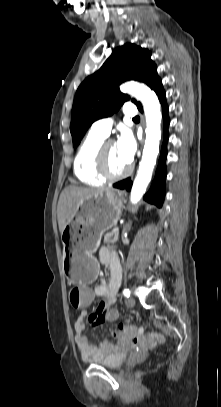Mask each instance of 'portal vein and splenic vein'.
<instances>
[{
	"instance_id": "1",
	"label": "portal vein and splenic vein",
	"mask_w": 221,
	"mask_h": 407,
	"mask_svg": "<svg viewBox=\"0 0 221 407\" xmlns=\"http://www.w3.org/2000/svg\"><path fill=\"white\" fill-rule=\"evenodd\" d=\"M114 231H117V232H118V231H119V228H115Z\"/></svg>"
}]
</instances>
